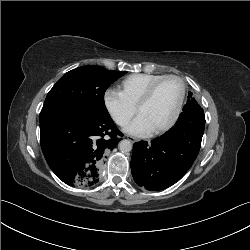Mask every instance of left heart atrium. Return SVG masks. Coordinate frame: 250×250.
<instances>
[{
  "mask_svg": "<svg viewBox=\"0 0 250 250\" xmlns=\"http://www.w3.org/2000/svg\"><path fill=\"white\" fill-rule=\"evenodd\" d=\"M128 133L142 136L149 134L151 132L150 127L148 126L145 119L138 115L125 129Z\"/></svg>",
  "mask_w": 250,
  "mask_h": 250,
  "instance_id": "obj_1",
  "label": "left heart atrium"
}]
</instances>
